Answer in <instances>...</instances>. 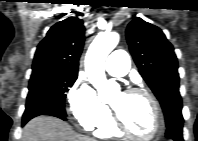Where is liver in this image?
Segmentation results:
<instances>
[{
    "label": "liver",
    "instance_id": "obj_1",
    "mask_svg": "<svg viewBox=\"0 0 198 141\" xmlns=\"http://www.w3.org/2000/svg\"><path fill=\"white\" fill-rule=\"evenodd\" d=\"M22 141H92V139L76 133L68 123L59 118L39 116L25 125Z\"/></svg>",
    "mask_w": 198,
    "mask_h": 141
}]
</instances>
